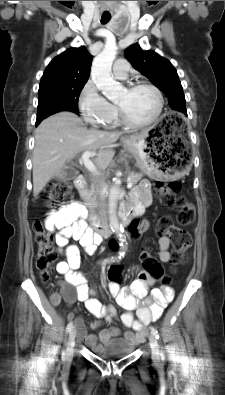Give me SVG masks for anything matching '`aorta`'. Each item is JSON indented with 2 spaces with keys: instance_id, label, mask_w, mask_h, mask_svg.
I'll return each instance as SVG.
<instances>
[{
  "instance_id": "obj_1",
  "label": "aorta",
  "mask_w": 225,
  "mask_h": 395,
  "mask_svg": "<svg viewBox=\"0 0 225 395\" xmlns=\"http://www.w3.org/2000/svg\"><path fill=\"white\" fill-rule=\"evenodd\" d=\"M117 47L114 44H107L104 49L98 54L92 63L91 77L98 90L109 100L117 99L122 92V86L116 82L111 76V68L113 61L116 58ZM120 194V187L115 184L110 188L109 192V221L111 229L117 234L121 251L126 250V237L124 235V228L119 223L116 216V208L118 197Z\"/></svg>"
}]
</instances>
